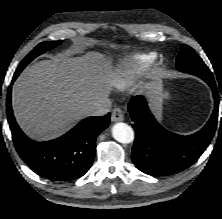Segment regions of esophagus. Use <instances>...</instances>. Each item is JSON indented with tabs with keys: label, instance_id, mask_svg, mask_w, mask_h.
<instances>
[{
	"label": "esophagus",
	"instance_id": "obj_1",
	"mask_svg": "<svg viewBox=\"0 0 222 219\" xmlns=\"http://www.w3.org/2000/svg\"><path fill=\"white\" fill-rule=\"evenodd\" d=\"M113 122H121L124 120V112L120 108H114L111 115Z\"/></svg>",
	"mask_w": 222,
	"mask_h": 219
}]
</instances>
